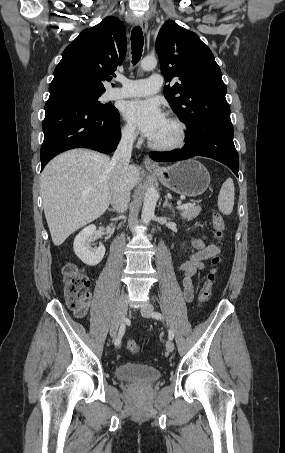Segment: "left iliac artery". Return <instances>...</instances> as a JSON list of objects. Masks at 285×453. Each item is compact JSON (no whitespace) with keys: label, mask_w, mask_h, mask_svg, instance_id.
I'll return each instance as SVG.
<instances>
[{"label":"left iliac artery","mask_w":285,"mask_h":453,"mask_svg":"<svg viewBox=\"0 0 285 453\" xmlns=\"http://www.w3.org/2000/svg\"><path fill=\"white\" fill-rule=\"evenodd\" d=\"M152 316H153V318H155V319L163 320V316H162L161 313H159V312H153V313H152ZM168 337H169L170 340H172V339L174 338V332H173V330H171V329L169 330Z\"/></svg>","instance_id":"44dca946"}]
</instances>
